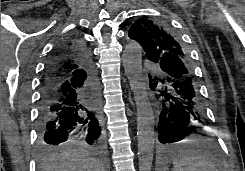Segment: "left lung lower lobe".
<instances>
[{"label":"left lung lower lobe","mask_w":245,"mask_h":171,"mask_svg":"<svg viewBox=\"0 0 245 171\" xmlns=\"http://www.w3.org/2000/svg\"><path fill=\"white\" fill-rule=\"evenodd\" d=\"M162 77L150 79V88L161 98L158 119V140L161 144L181 141L190 134L192 126L206 125L205 109L188 62L173 55L157 63Z\"/></svg>","instance_id":"0a47b994"}]
</instances>
